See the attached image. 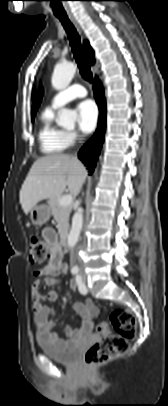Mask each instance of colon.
I'll use <instances>...</instances> for the list:
<instances>
[{
    "instance_id": "obj_1",
    "label": "colon",
    "mask_w": 168,
    "mask_h": 406,
    "mask_svg": "<svg viewBox=\"0 0 168 406\" xmlns=\"http://www.w3.org/2000/svg\"><path fill=\"white\" fill-rule=\"evenodd\" d=\"M51 245L37 236L29 240V258L33 264H41L51 256ZM113 327L115 334L109 332ZM137 321L135 315L124 309H117L109 318L97 327L98 333L104 335L95 342L86 352L84 358L85 367H94L123 355L129 347L128 340L137 333Z\"/></svg>"
}]
</instances>
